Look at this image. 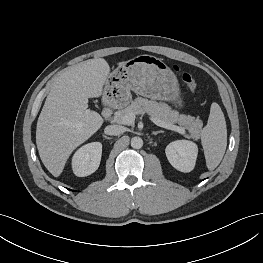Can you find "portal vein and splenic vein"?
I'll return each mask as SVG.
<instances>
[{
	"label": "portal vein and splenic vein",
	"mask_w": 263,
	"mask_h": 263,
	"mask_svg": "<svg viewBox=\"0 0 263 263\" xmlns=\"http://www.w3.org/2000/svg\"><path fill=\"white\" fill-rule=\"evenodd\" d=\"M123 122H125L126 124H132L135 121V115L133 113H130L128 115H125L123 117ZM150 120L157 126L169 129V130H173L176 131L180 134H185V129L183 127L174 125L172 123H167V122H163L161 120L155 119V118H150Z\"/></svg>",
	"instance_id": "portal-vein-and-splenic-vein-1"
}]
</instances>
